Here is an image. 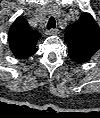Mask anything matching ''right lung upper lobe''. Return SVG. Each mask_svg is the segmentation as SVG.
<instances>
[{"instance_id": "right-lung-upper-lobe-1", "label": "right lung upper lobe", "mask_w": 100, "mask_h": 118, "mask_svg": "<svg viewBox=\"0 0 100 118\" xmlns=\"http://www.w3.org/2000/svg\"><path fill=\"white\" fill-rule=\"evenodd\" d=\"M39 38L40 34L33 30L22 17H18L9 30L11 50L19 59H26L36 52L35 45Z\"/></svg>"}]
</instances>
